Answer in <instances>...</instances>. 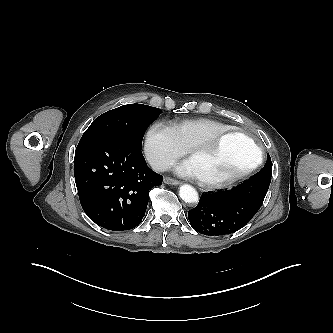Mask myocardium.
I'll return each mask as SVG.
<instances>
[{"instance_id": "obj_1", "label": "myocardium", "mask_w": 333, "mask_h": 333, "mask_svg": "<svg viewBox=\"0 0 333 333\" xmlns=\"http://www.w3.org/2000/svg\"><path fill=\"white\" fill-rule=\"evenodd\" d=\"M233 134H241L247 137L252 142L257 152L255 160L249 166L223 179L209 180L202 177H197L198 182L203 187L208 189L225 188L237 182L238 180L246 177L260 165L263 158V149L260 143L246 130L236 127H232L228 130L219 132L203 141L197 142L196 144L192 145L188 149L189 157L191 158L195 154L206 153L213 150L221 142L222 139Z\"/></svg>"}]
</instances>
